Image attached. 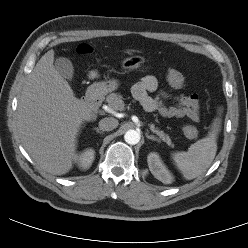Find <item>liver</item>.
Here are the masks:
<instances>
[{"label": "liver", "instance_id": "obj_1", "mask_svg": "<svg viewBox=\"0 0 248 248\" xmlns=\"http://www.w3.org/2000/svg\"><path fill=\"white\" fill-rule=\"evenodd\" d=\"M53 62L54 50H49L28 75L18 102L17 129L34 162L48 173L63 175L73 167L79 131L92 111L75 97Z\"/></svg>", "mask_w": 248, "mask_h": 248}]
</instances>
